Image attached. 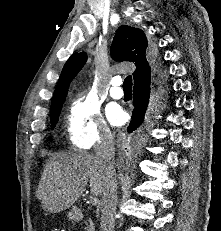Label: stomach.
<instances>
[{
	"instance_id": "stomach-1",
	"label": "stomach",
	"mask_w": 221,
	"mask_h": 231,
	"mask_svg": "<svg viewBox=\"0 0 221 231\" xmlns=\"http://www.w3.org/2000/svg\"><path fill=\"white\" fill-rule=\"evenodd\" d=\"M67 217L70 220H74L76 218V214H75L74 210H71L70 212H68Z\"/></svg>"
}]
</instances>
